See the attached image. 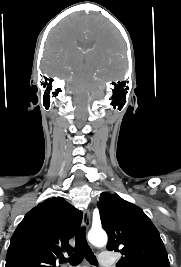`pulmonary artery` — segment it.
I'll use <instances>...</instances> for the list:
<instances>
[{
	"label": "pulmonary artery",
	"mask_w": 181,
	"mask_h": 267,
	"mask_svg": "<svg viewBox=\"0 0 181 267\" xmlns=\"http://www.w3.org/2000/svg\"><path fill=\"white\" fill-rule=\"evenodd\" d=\"M98 262L101 267H111L113 258L110 255L103 253L99 255Z\"/></svg>",
	"instance_id": "e3ab8cb5"
}]
</instances>
